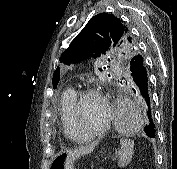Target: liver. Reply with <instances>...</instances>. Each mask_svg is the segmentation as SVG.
<instances>
[{"label":"liver","instance_id":"1","mask_svg":"<svg viewBox=\"0 0 177 169\" xmlns=\"http://www.w3.org/2000/svg\"><path fill=\"white\" fill-rule=\"evenodd\" d=\"M93 149V146L87 147V148H81L76 149L74 151H71L66 156V168L67 169H73V162L76 158L89 153Z\"/></svg>","mask_w":177,"mask_h":169}]
</instances>
